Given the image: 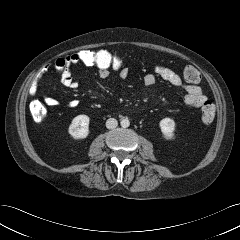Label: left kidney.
Listing matches in <instances>:
<instances>
[{"label": "left kidney", "mask_w": 240, "mask_h": 240, "mask_svg": "<svg viewBox=\"0 0 240 240\" xmlns=\"http://www.w3.org/2000/svg\"><path fill=\"white\" fill-rule=\"evenodd\" d=\"M161 132L165 139L171 140L174 138L175 122L170 118H164L159 123Z\"/></svg>", "instance_id": "left-kidney-1"}]
</instances>
